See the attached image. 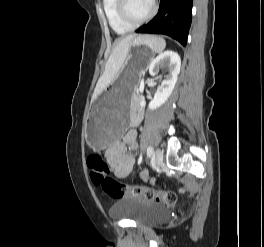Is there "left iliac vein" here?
<instances>
[{
    "label": "left iliac vein",
    "instance_id": "obj_1",
    "mask_svg": "<svg viewBox=\"0 0 264 247\" xmlns=\"http://www.w3.org/2000/svg\"><path fill=\"white\" fill-rule=\"evenodd\" d=\"M163 163V152L161 151V149H157L155 151V164L157 166H161Z\"/></svg>",
    "mask_w": 264,
    "mask_h": 247
}]
</instances>
